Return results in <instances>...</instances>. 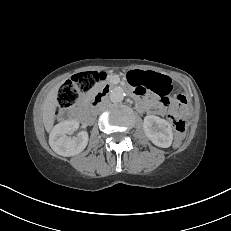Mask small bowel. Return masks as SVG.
Returning <instances> with one entry per match:
<instances>
[{
    "mask_svg": "<svg viewBox=\"0 0 231 231\" xmlns=\"http://www.w3.org/2000/svg\"><path fill=\"white\" fill-rule=\"evenodd\" d=\"M130 74H138L142 77L140 81L136 82L139 86V88H136V92L138 94L142 93L143 90H148L152 93V96L147 99V109L154 110L159 113L168 109L170 101L167 96L174 88L172 79L169 76L150 70H135L131 71ZM130 74L128 76L129 82L133 81L130 78ZM180 111L183 112L184 109H180Z\"/></svg>",
    "mask_w": 231,
    "mask_h": 231,
    "instance_id": "c3829d8e",
    "label": "small bowel"
}]
</instances>
